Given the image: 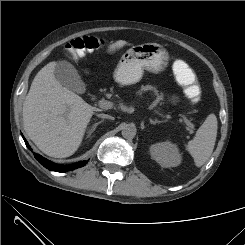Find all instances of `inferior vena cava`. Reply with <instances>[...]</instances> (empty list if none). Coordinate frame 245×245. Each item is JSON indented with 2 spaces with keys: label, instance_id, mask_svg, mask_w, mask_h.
<instances>
[{
  "label": "inferior vena cava",
  "instance_id": "inferior-vena-cava-1",
  "mask_svg": "<svg viewBox=\"0 0 245 245\" xmlns=\"http://www.w3.org/2000/svg\"><path fill=\"white\" fill-rule=\"evenodd\" d=\"M98 117L100 118H106V119H114V117L110 116V115H107V114H97Z\"/></svg>",
  "mask_w": 245,
  "mask_h": 245
}]
</instances>
